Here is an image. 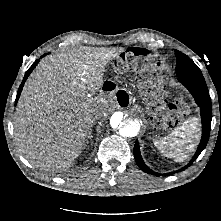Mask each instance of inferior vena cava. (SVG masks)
<instances>
[{
    "instance_id": "inferior-vena-cava-1",
    "label": "inferior vena cava",
    "mask_w": 221,
    "mask_h": 221,
    "mask_svg": "<svg viewBox=\"0 0 221 221\" xmlns=\"http://www.w3.org/2000/svg\"><path fill=\"white\" fill-rule=\"evenodd\" d=\"M92 116H93V119H94V120H97V121H98V120H101V119H102V116H103V115H102V112H101V111H98V110H97V111H94V112H93V115H92Z\"/></svg>"
}]
</instances>
